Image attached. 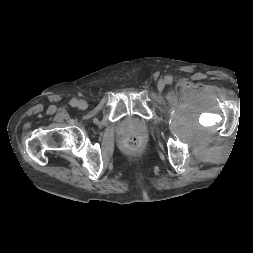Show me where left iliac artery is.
Returning a JSON list of instances; mask_svg holds the SVG:
<instances>
[{
    "mask_svg": "<svg viewBox=\"0 0 253 253\" xmlns=\"http://www.w3.org/2000/svg\"><path fill=\"white\" fill-rule=\"evenodd\" d=\"M171 81H172V80H171L170 77H167V78H166V82H167V83H170Z\"/></svg>",
    "mask_w": 253,
    "mask_h": 253,
    "instance_id": "left-iliac-artery-1",
    "label": "left iliac artery"
}]
</instances>
